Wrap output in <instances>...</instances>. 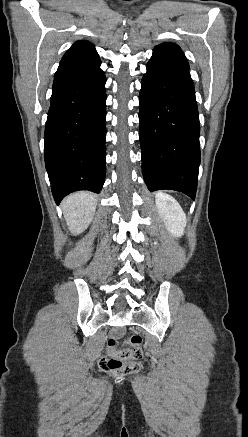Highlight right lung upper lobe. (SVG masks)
<instances>
[{
	"mask_svg": "<svg viewBox=\"0 0 248 437\" xmlns=\"http://www.w3.org/2000/svg\"><path fill=\"white\" fill-rule=\"evenodd\" d=\"M98 54L94 45L88 41H76L70 49L64 54L61 61L65 60H82L97 57Z\"/></svg>",
	"mask_w": 248,
	"mask_h": 437,
	"instance_id": "obj_1",
	"label": "right lung upper lobe"
}]
</instances>
